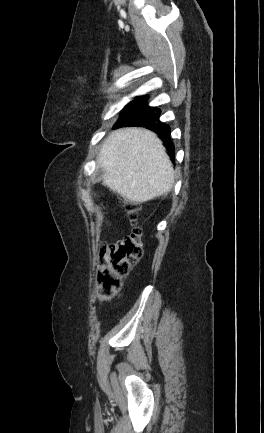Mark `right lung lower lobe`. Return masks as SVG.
<instances>
[{"label": "right lung lower lobe", "instance_id": "1", "mask_svg": "<svg viewBox=\"0 0 264 433\" xmlns=\"http://www.w3.org/2000/svg\"><path fill=\"white\" fill-rule=\"evenodd\" d=\"M145 97H139L138 106L140 107L132 116L117 121L115 127L139 126L146 127L159 135L167 146L169 152L174 155V145L170 139V127L159 121L160 109L149 107Z\"/></svg>", "mask_w": 264, "mask_h": 433}]
</instances>
